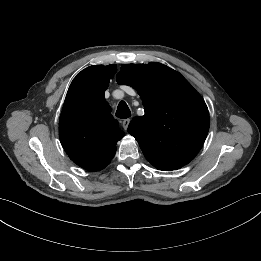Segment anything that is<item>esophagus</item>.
<instances>
[{"mask_svg": "<svg viewBox=\"0 0 261 261\" xmlns=\"http://www.w3.org/2000/svg\"><path fill=\"white\" fill-rule=\"evenodd\" d=\"M130 121H131L130 118H127V119H124V120H123L122 124H123V127H124L125 130H127Z\"/></svg>", "mask_w": 261, "mask_h": 261, "instance_id": "obj_1", "label": "esophagus"}]
</instances>
